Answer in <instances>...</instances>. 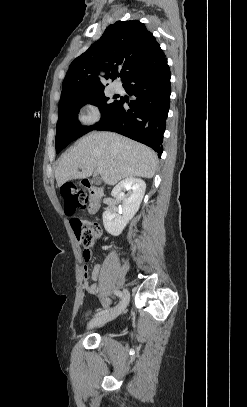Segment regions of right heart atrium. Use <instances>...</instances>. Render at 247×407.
Here are the masks:
<instances>
[{
  "mask_svg": "<svg viewBox=\"0 0 247 407\" xmlns=\"http://www.w3.org/2000/svg\"><path fill=\"white\" fill-rule=\"evenodd\" d=\"M102 117L99 106L93 102L84 103L79 111L78 120L85 126H93L97 124Z\"/></svg>",
  "mask_w": 247,
  "mask_h": 407,
  "instance_id": "1",
  "label": "right heart atrium"
}]
</instances>
